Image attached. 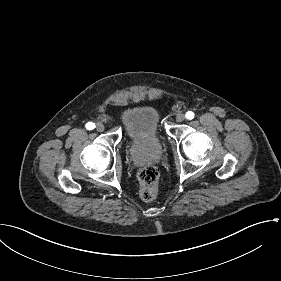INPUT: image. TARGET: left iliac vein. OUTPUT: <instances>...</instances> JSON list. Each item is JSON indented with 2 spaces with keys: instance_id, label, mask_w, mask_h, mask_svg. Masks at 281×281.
<instances>
[{
  "instance_id": "obj_1",
  "label": "left iliac vein",
  "mask_w": 281,
  "mask_h": 281,
  "mask_svg": "<svg viewBox=\"0 0 281 281\" xmlns=\"http://www.w3.org/2000/svg\"><path fill=\"white\" fill-rule=\"evenodd\" d=\"M185 119V115L183 113H179L176 116V122L181 123L182 121H184Z\"/></svg>"
}]
</instances>
